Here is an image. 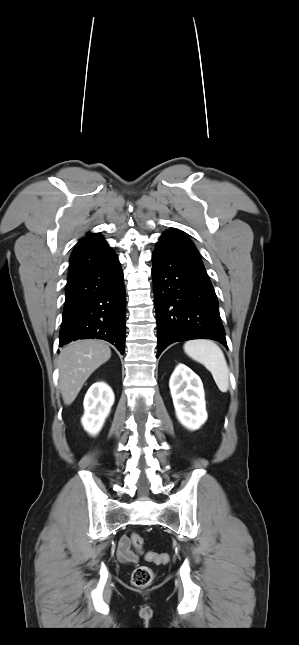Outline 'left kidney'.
Instances as JSON below:
<instances>
[{
  "label": "left kidney",
  "instance_id": "5707ae66",
  "mask_svg": "<svg viewBox=\"0 0 299 645\" xmlns=\"http://www.w3.org/2000/svg\"><path fill=\"white\" fill-rule=\"evenodd\" d=\"M176 417L189 430H197L207 420L201 379L184 364H178L169 381Z\"/></svg>",
  "mask_w": 299,
  "mask_h": 645
}]
</instances>
